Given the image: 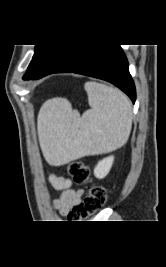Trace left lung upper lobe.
I'll use <instances>...</instances> for the list:
<instances>
[{"instance_id": "left-lung-upper-lobe-1", "label": "left lung upper lobe", "mask_w": 166, "mask_h": 267, "mask_svg": "<svg viewBox=\"0 0 166 267\" xmlns=\"http://www.w3.org/2000/svg\"><path fill=\"white\" fill-rule=\"evenodd\" d=\"M56 44L48 45H36L32 61L23 76L24 80H31L34 74L37 72L38 68L41 66L44 59L49 55V53L56 47Z\"/></svg>"}]
</instances>
